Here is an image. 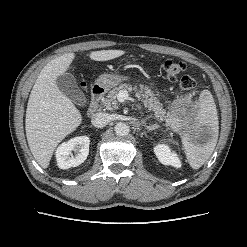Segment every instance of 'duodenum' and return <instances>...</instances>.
Listing matches in <instances>:
<instances>
[{
  "mask_svg": "<svg viewBox=\"0 0 247 247\" xmlns=\"http://www.w3.org/2000/svg\"><path fill=\"white\" fill-rule=\"evenodd\" d=\"M105 93V88L102 85L95 84L91 89V100L87 110L88 116L94 115L99 106V102Z\"/></svg>",
  "mask_w": 247,
  "mask_h": 247,
  "instance_id": "duodenum-1",
  "label": "duodenum"
}]
</instances>
